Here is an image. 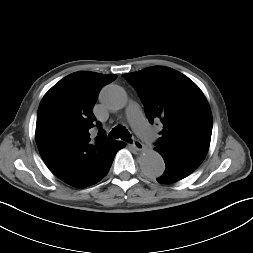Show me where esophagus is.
Segmentation results:
<instances>
[{
	"mask_svg": "<svg viewBox=\"0 0 253 253\" xmlns=\"http://www.w3.org/2000/svg\"><path fill=\"white\" fill-rule=\"evenodd\" d=\"M132 146L137 151H142L144 149V145L139 140H134Z\"/></svg>",
	"mask_w": 253,
	"mask_h": 253,
	"instance_id": "esophagus-1",
	"label": "esophagus"
}]
</instances>
